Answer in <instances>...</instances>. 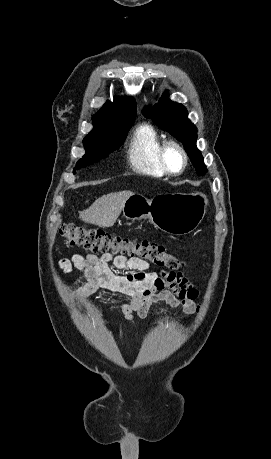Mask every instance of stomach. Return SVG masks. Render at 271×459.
Here are the masks:
<instances>
[{
  "instance_id": "obj_1",
  "label": "stomach",
  "mask_w": 271,
  "mask_h": 459,
  "mask_svg": "<svg viewBox=\"0 0 271 459\" xmlns=\"http://www.w3.org/2000/svg\"><path fill=\"white\" fill-rule=\"evenodd\" d=\"M204 194H158L152 200L144 196H131L122 212L127 220H149L154 228L185 235L201 224L206 208Z\"/></svg>"
}]
</instances>
